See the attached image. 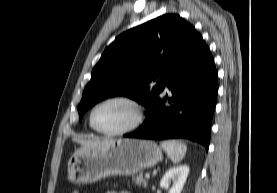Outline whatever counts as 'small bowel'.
Returning a JSON list of instances; mask_svg holds the SVG:
<instances>
[{"mask_svg":"<svg viewBox=\"0 0 277 193\" xmlns=\"http://www.w3.org/2000/svg\"><path fill=\"white\" fill-rule=\"evenodd\" d=\"M106 193H130L129 191H117V190H110V191H107Z\"/></svg>","mask_w":277,"mask_h":193,"instance_id":"c3829d8e","label":"small bowel"}]
</instances>
